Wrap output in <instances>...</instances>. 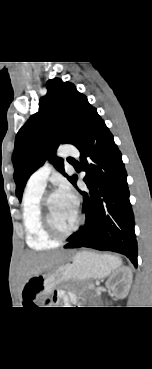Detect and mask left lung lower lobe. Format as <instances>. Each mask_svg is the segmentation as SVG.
<instances>
[{
    "label": "left lung lower lobe",
    "instance_id": "left-lung-lower-lobe-1",
    "mask_svg": "<svg viewBox=\"0 0 152 369\" xmlns=\"http://www.w3.org/2000/svg\"><path fill=\"white\" fill-rule=\"evenodd\" d=\"M81 153L88 191L83 195L85 224L64 248L88 247L126 255L137 267L134 214L121 153L104 121L95 111L75 145Z\"/></svg>",
    "mask_w": 152,
    "mask_h": 369
}]
</instances>
